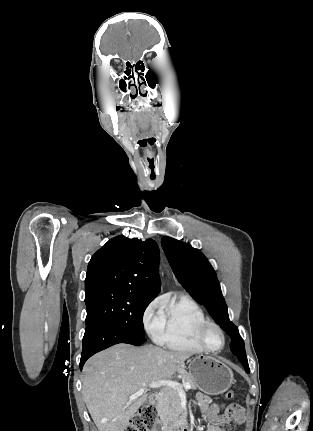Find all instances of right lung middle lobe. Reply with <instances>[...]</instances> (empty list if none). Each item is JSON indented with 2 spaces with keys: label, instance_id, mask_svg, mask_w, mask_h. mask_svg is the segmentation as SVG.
Listing matches in <instances>:
<instances>
[{
  "label": "right lung middle lobe",
  "instance_id": "dd1d6c3e",
  "mask_svg": "<svg viewBox=\"0 0 313 431\" xmlns=\"http://www.w3.org/2000/svg\"><path fill=\"white\" fill-rule=\"evenodd\" d=\"M153 299L124 289L105 290L86 296V329L99 323H109L144 337L143 313Z\"/></svg>",
  "mask_w": 313,
  "mask_h": 431
}]
</instances>
